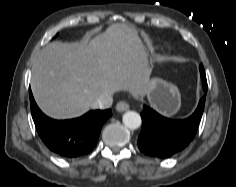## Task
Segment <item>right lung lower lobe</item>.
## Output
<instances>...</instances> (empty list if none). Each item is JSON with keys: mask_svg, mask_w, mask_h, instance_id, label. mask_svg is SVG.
<instances>
[{"mask_svg": "<svg viewBox=\"0 0 236 187\" xmlns=\"http://www.w3.org/2000/svg\"><path fill=\"white\" fill-rule=\"evenodd\" d=\"M31 114L45 145L58 156L73 159L88 154L97 144L101 128L112 111H89L79 118L54 120L44 115L29 90Z\"/></svg>", "mask_w": 236, "mask_h": 187, "instance_id": "obj_1", "label": "right lung lower lobe"}]
</instances>
